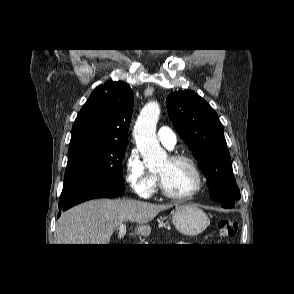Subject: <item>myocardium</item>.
Wrapping results in <instances>:
<instances>
[{"label": "myocardium", "mask_w": 294, "mask_h": 294, "mask_svg": "<svg viewBox=\"0 0 294 294\" xmlns=\"http://www.w3.org/2000/svg\"><path fill=\"white\" fill-rule=\"evenodd\" d=\"M168 159L173 163L185 162V163L189 164L191 166L193 172L195 173V176H196V186L191 192H189L187 194H175L167 188L163 178L158 174L159 189H160L161 193L165 197H167L169 199H173V200L182 201V200H188V199L193 198L196 194H198L202 190L203 185H204V177H203V174L201 172L199 165L192 157L187 156V155H183V154L172 155Z\"/></svg>", "instance_id": "myocardium-1"}]
</instances>
